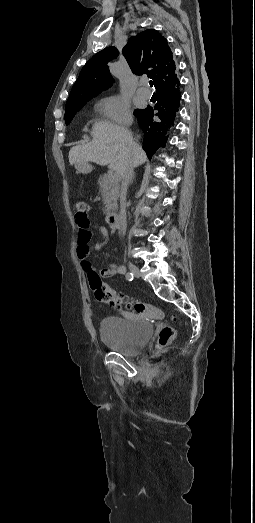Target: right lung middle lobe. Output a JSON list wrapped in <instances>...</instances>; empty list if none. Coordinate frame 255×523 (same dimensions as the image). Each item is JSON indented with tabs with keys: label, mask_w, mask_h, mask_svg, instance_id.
Wrapping results in <instances>:
<instances>
[{
	"label": "right lung middle lobe",
	"mask_w": 255,
	"mask_h": 523,
	"mask_svg": "<svg viewBox=\"0 0 255 523\" xmlns=\"http://www.w3.org/2000/svg\"><path fill=\"white\" fill-rule=\"evenodd\" d=\"M87 102H81V103H67L65 106V122L66 125H68L73 117L75 116L76 112L79 111Z\"/></svg>",
	"instance_id": "1"
}]
</instances>
